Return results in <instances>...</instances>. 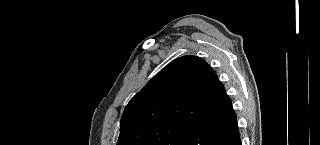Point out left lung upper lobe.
Listing matches in <instances>:
<instances>
[{
  "instance_id": "5c2ea615",
  "label": "left lung upper lobe",
  "mask_w": 320,
  "mask_h": 145,
  "mask_svg": "<svg viewBox=\"0 0 320 145\" xmlns=\"http://www.w3.org/2000/svg\"><path fill=\"white\" fill-rule=\"evenodd\" d=\"M213 75L200 57L173 60L127 104L117 145H181L211 108Z\"/></svg>"
}]
</instances>
